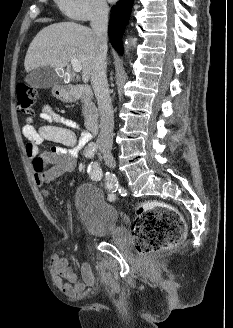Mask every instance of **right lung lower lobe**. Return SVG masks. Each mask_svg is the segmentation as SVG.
I'll return each mask as SVG.
<instances>
[{
  "label": "right lung lower lobe",
  "instance_id": "98d812e1",
  "mask_svg": "<svg viewBox=\"0 0 233 328\" xmlns=\"http://www.w3.org/2000/svg\"><path fill=\"white\" fill-rule=\"evenodd\" d=\"M133 1L134 0H122L111 9L108 33L112 46L120 54L123 53L122 35L129 19Z\"/></svg>",
  "mask_w": 233,
  "mask_h": 328
}]
</instances>
